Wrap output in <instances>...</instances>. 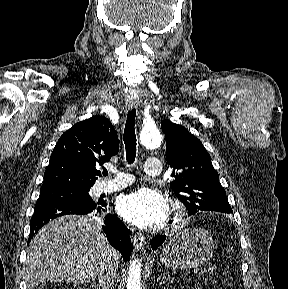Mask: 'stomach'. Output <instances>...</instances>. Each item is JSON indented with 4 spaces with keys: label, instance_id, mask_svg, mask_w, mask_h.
Masks as SVG:
<instances>
[{
    "label": "stomach",
    "instance_id": "1",
    "mask_svg": "<svg viewBox=\"0 0 288 289\" xmlns=\"http://www.w3.org/2000/svg\"><path fill=\"white\" fill-rule=\"evenodd\" d=\"M214 249L213 237L207 230L191 227L170 238L160 255V262L168 268H195L210 260Z\"/></svg>",
    "mask_w": 288,
    "mask_h": 289
}]
</instances>
